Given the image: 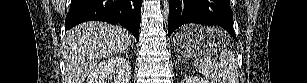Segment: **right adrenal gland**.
<instances>
[{
    "instance_id": "right-adrenal-gland-1",
    "label": "right adrenal gland",
    "mask_w": 307,
    "mask_h": 83,
    "mask_svg": "<svg viewBox=\"0 0 307 83\" xmlns=\"http://www.w3.org/2000/svg\"><path fill=\"white\" fill-rule=\"evenodd\" d=\"M122 54H125L127 56L128 55V49L123 51Z\"/></svg>"
}]
</instances>
